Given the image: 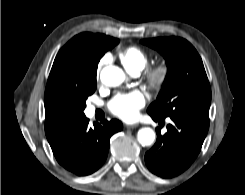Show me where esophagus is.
<instances>
[{"label":"esophagus","instance_id":"1","mask_svg":"<svg viewBox=\"0 0 245 195\" xmlns=\"http://www.w3.org/2000/svg\"><path fill=\"white\" fill-rule=\"evenodd\" d=\"M138 127V124H127L126 125V128H128V129H134V128H137Z\"/></svg>","mask_w":245,"mask_h":195}]
</instances>
